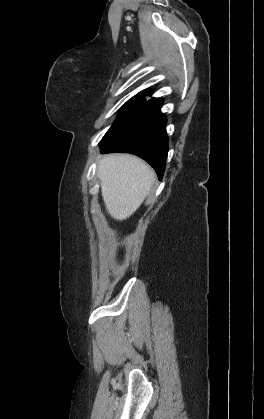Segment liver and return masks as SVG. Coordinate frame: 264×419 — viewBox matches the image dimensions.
<instances>
[{"label":"liver","mask_w":264,"mask_h":419,"mask_svg":"<svg viewBox=\"0 0 264 419\" xmlns=\"http://www.w3.org/2000/svg\"><path fill=\"white\" fill-rule=\"evenodd\" d=\"M97 173L106 210L116 220L128 218L140 207L155 179L146 162L129 154L103 156Z\"/></svg>","instance_id":"1"}]
</instances>
